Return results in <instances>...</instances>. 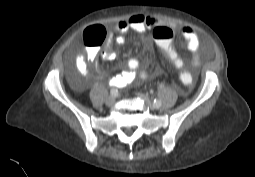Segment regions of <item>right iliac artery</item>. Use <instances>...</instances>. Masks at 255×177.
Listing matches in <instances>:
<instances>
[{
    "mask_svg": "<svg viewBox=\"0 0 255 177\" xmlns=\"http://www.w3.org/2000/svg\"><path fill=\"white\" fill-rule=\"evenodd\" d=\"M110 94H111V96L116 97L118 95V90L115 89V88H112L111 91H110Z\"/></svg>",
    "mask_w": 255,
    "mask_h": 177,
    "instance_id": "1",
    "label": "right iliac artery"
}]
</instances>
